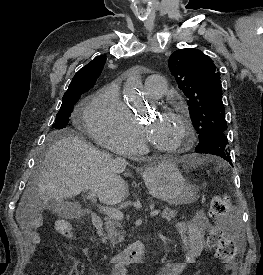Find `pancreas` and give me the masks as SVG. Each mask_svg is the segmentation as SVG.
I'll list each match as a JSON object with an SVG mask.
<instances>
[{"label": "pancreas", "instance_id": "1", "mask_svg": "<svg viewBox=\"0 0 263 275\" xmlns=\"http://www.w3.org/2000/svg\"><path fill=\"white\" fill-rule=\"evenodd\" d=\"M176 211L169 208H165L161 213V217L170 221L175 218ZM122 223L116 219L109 216L105 218V230L106 233L103 234L102 241L110 240L112 244H118L124 239V231L122 230Z\"/></svg>", "mask_w": 263, "mask_h": 275}]
</instances>
